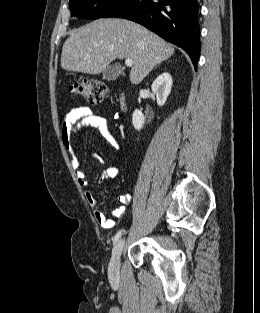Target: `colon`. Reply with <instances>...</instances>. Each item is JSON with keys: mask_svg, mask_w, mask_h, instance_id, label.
<instances>
[{"mask_svg": "<svg viewBox=\"0 0 260 313\" xmlns=\"http://www.w3.org/2000/svg\"><path fill=\"white\" fill-rule=\"evenodd\" d=\"M70 91L75 95L81 96L91 104L102 103L108 93L107 87L104 83L90 79L74 82L70 86Z\"/></svg>", "mask_w": 260, "mask_h": 313, "instance_id": "1", "label": "colon"}]
</instances>
